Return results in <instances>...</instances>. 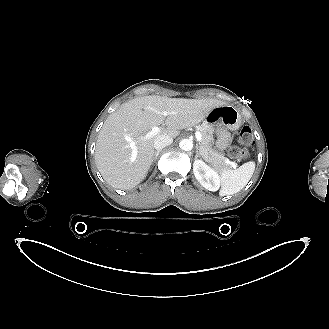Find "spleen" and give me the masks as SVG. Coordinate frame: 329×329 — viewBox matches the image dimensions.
<instances>
[{"label": "spleen", "instance_id": "spleen-1", "mask_svg": "<svg viewBox=\"0 0 329 329\" xmlns=\"http://www.w3.org/2000/svg\"><path fill=\"white\" fill-rule=\"evenodd\" d=\"M255 162H247L235 170L224 169L221 174V196L233 195L242 190L251 179Z\"/></svg>", "mask_w": 329, "mask_h": 329}]
</instances>
